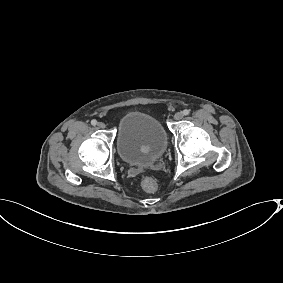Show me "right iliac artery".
Masks as SVG:
<instances>
[{"label": "right iliac artery", "instance_id": "right-iliac-artery-1", "mask_svg": "<svg viewBox=\"0 0 283 283\" xmlns=\"http://www.w3.org/2000/svg\"><path fill=\"white\" fill-rule=\"evenodd\" d=\"M91 124H92V125H96V124H97V121H96L95 119H93V120L91 121Z\"/></svg>", "mask_w": 283, "mask_h": 283}]
</instances>
